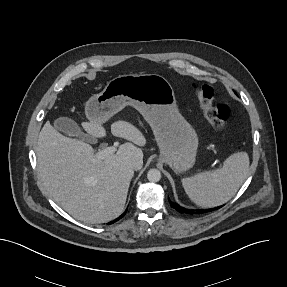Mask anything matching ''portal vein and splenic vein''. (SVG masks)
I'll return each mask as SVG.
<instances>
[{"instance_id":"18ae733b","label":"portal vein and splenic vein","mask_w":287,"mask_h":287,"mask_svg":"<svg viewBox=\"0 0 287 287\" xmlns=\"http://www.w3.org/2000/svg\"><path fill=\"white\" fill-rule=\"evenodd\" d=\"M119 143L115 142L113 146L104 147L96 153V157L100 160L105 159L106 157L114 154L117 151Z\"/></svg>"}]
</instances>
